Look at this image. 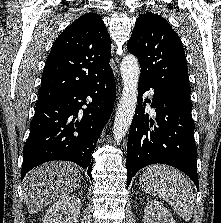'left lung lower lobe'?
Returning <instances> with one entry per match:
<instances>
[{"label":"left lung lower lobe","mask_w":221,"mask_h":223,"mask_svg":"<svg viewBox=\"0 0 221 223\" xmlns=\"http://www.w3.org/2000/svg\"><path fill=\"white\" fill-rule=\"evenodd\" d=\"M154 90L151 106L155 107V120L144 114L142 95ZM138 106L135 110L127 144V186L143 167L160 163L171 165L187 174L197 189V148L194 141V122L189 98L156 88L139 80Z\"/></svg>","instance_id":"0a47b994"}]
</instances>
